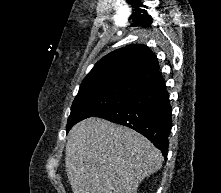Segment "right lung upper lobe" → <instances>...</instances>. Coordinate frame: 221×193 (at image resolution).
Returning <instances> with one entry per match:
<instances>
[{"instance_id":"obj_1","label":"right lung upper lobe","mask_w":221,"mask_h":193,"mask_svg":"<svg viewBox=\"0 0 221 193\" xmlns=\"http://www.w3.org/2000/svg\"><path fill=\"white\" fill-rule=\"evenodd\" d=\"M162 79L155 54L146 45H128L99 60L84 78L80 89L113 83L148 85Z\"/></svg>"}]
</instances>
